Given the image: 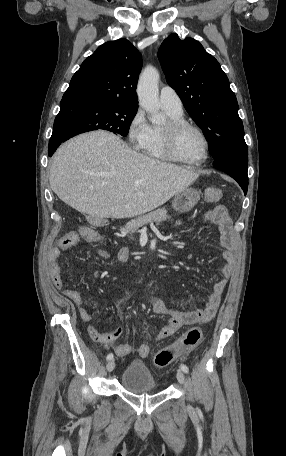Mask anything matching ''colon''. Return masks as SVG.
I'll return each instance as SVG.
<instances>
[{
	"label": "colon",
	"mask_w": 286,
	"mask_h": 456,
	"mask_svg": "<svg viewBox=\"0 0 286 456\" xmlns=\"http://www.w3.org/2000/svg\"><path fill=\"white\" fill-rule=\"evenodd\" d=\"M222 196V191L219 188H209L205 191V200L212 202L218 200ZM89 228L83 227L82 234H88ZM203 339V332L200 328H192L182 335L175 343L158 351L154 356V364L159 368H164L170 365L178 355L184 351L191 350L198 346ZM150 350L147 345H141L138 353L141 357H146Z\"/></svg>",
	"instance_id": "5ec220e1"
}]
</instances>
